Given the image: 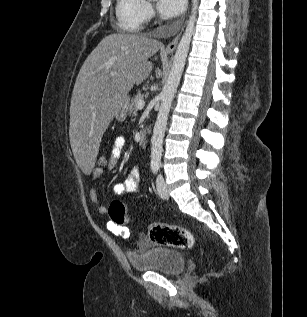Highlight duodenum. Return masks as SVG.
I'll list each match as a JSON object with an SVG mask.
<instances>
[{"label": "duodenum", "mask_w": 307, "mask_h": 317, "mask_svg": "<svg viewBox=\"0 0 307 317\" xmlns=\"http://www.w3.org/2000/svg\"><path fill=\"white\" fill-rule=\"evenodd\" d=\"M138 138L141 143L144 142L146 139V131L145 130L140 131Z\"/></svg>", "instance_id": "410a0bca"}]
</instances>
